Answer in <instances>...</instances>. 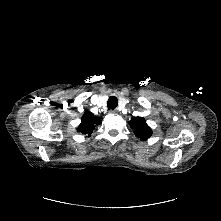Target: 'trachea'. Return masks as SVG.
<instances>
[{"label": "trachea", "mask_w": 221, "mask_h": 221, "mask_svg": "<svg viewBox=\"0 0 221 221\" xmlns=\"http://www.w3.org/2000/svg\"><path fill=\"white\" fill-rule=\"evenodd\" d=\"M118 105V100L115 96H111L109 99H108V102H107V107L108 109H115Z\"/></svg>", "instance_id": "1"}]
</instances>
